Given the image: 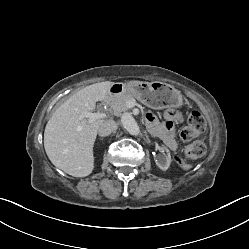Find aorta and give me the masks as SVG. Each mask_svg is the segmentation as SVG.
<instances>
[{
    "label": "aorta",
    "mask_w": 249,
    "mask_h": 249,
    "mask_svg": "<svg viewBox=\"0 0 249 249\" xmlns=\"http://www.w3.org/2000/svg\"><path fill=\"white\" fill-rule=\"evenodd\" d=\"M122 124L124 128L132 135H138L139 134V127L133 117L130 114H124L122 116Z\"/></svg>",
    "instance_id": "aorta-1"
}]
</instances>
